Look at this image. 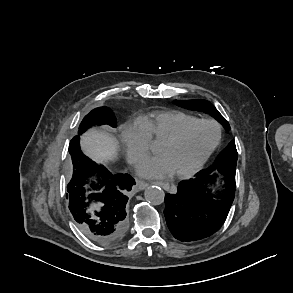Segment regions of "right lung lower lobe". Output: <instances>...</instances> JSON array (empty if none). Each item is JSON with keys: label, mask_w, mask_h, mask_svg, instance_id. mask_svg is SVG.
<instances>
[{"label": "right lung lower lobe", "mask_w": 293, "mask_h": 293, "mask_svg": "<svg viewBox=\"0 0 293 293\" xmlns=\"http://www.w3.org/2000/svg\"><path fill=\"white\" fill-rule=\"evenodd\" d=\"M80 136L72 138L69 153L72 159V178L67 186L69 209L79 229L92 241L100 244L118 242L127 232L126 192L131 190L134 179L128 174H112L105 167L97 165L80 150ZM96 175L98 183H92V190L85 192L88 177Z\"/></svg>", "instance_id": "right-lung-lower-lobe-1"}]
</instances>
